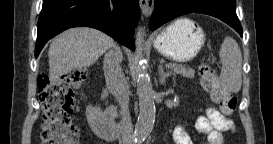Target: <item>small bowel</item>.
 I'll return each mask as SVG.
<instances>
[{
    "mask_svg": "<svg viewBox=\"0 0 273 144\" xmlns=\"http://www.w3.org/2000/svg\"><path fill=\"white\" fill-rule=\"evenodd\" d=\"M195 128L206 137L208 144H223V133L236 131L235 123L214 107L206 108L205 114L197 117ZM173 138L175 144H192L190 136L181 126L175 128Z\"/></svg>",
    "mask_w": 273,
    "mask_h": 144,
    "instance_id": "c3829d8e",
    "label": "small bowel"
}]
</instances>
